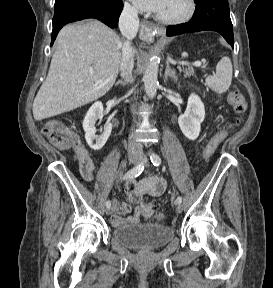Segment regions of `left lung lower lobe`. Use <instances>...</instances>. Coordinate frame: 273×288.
<instances>
[{
	"label": "left lung lower lobe",
	"instance_id": "1",
	"mask_svg": "<svg viewBox=\"0 0 273 288\" xmlns=\"http://www.w3.org/2000/svg\"><path fill=\"white\" fill-rule=\"evenodd\" d=\"M196 9L187 23L169 26L167 36L203 30L216 31L233 47V26L229 15L228 0H195Z\"/></svg>",
	"mask_w": 273,
	"mask_h": 288
}]
</instances>
